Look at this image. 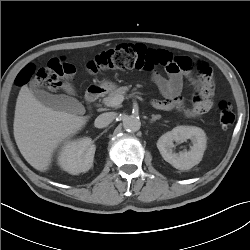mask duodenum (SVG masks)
I'll return each instance as SVG.
<instances>
[{
	"label": "duodenum",
	"mask_w": 250,
	"mask_h": 250,
	"mask_svg": "<svg viewBox=\"0 0 250 250\" xmlns=\"http://www.w3.org/2000/svg\"><path fill=\"white\" fill-rule=\"evenodd\" d=\"M102 94L103 89L100 86H91L86 92L85 101L89 106H91L100 98ZM152 105L157 109L159 108V103L156 101H154Z\"/></svg>",
	"instance_id": "duodenum-1"
}]
</instances>
